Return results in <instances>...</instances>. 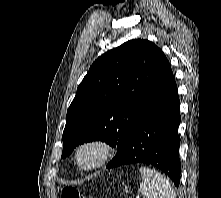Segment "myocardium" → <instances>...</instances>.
I'll return each mask as SVG.
<instances>
[{
  "label": "myocardium",
  "instance_id": "myocardium-1",
  "mask_svg": "<svg viewBox=\"0 0 221 198\" xmlns=\"http://www.w3.org/2000/svg\"><path fill=\"white\" fill-rule=\"evenodd\" d=\"M85 151H92L94 159L89 163H83L81 155ZM113 145L104 138H90L82 141L75 148L73 159L76 166L83 171H92L102 167L112 156Z\"/></svg>",
  "mask_w": 221,
  "mask_h": 198
}]
</instances>
